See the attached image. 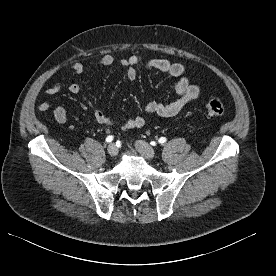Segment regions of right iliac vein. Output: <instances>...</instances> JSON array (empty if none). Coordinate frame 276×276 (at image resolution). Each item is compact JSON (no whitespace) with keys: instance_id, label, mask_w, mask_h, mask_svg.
Segmentation results:
<instances>
[{"instance_id":"right-iliac-vein-1","label":"right iliac vein","mask_w":276,"mask_h":276,"mask_svg":"<svg viewBox=\"0 0 276 276\" xmlns=\"http://www.w3.org/2000/svg\"><path fill=\"white\" fill-rule=\"evenodd\" d=\"M107 151H108L109 155L112 157H115L118 154V148L114 143H111L108 146Z\"/></svg>"}]
</instances>
